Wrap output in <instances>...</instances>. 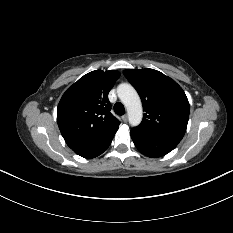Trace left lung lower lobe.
Listing matches in <instances>:
<instances>
[{
    "label": "left lung lower lobe",
    "instance_id": "left-lung-lower-lobe-1",
    "mask_svg": "<svg viewBox=\"0 0 233 233\" xmlns=\"http://www.w3.org/2000/svg\"><path fill=\"white\" fill-rule=\"evenodd\" d=\"M130 135L136 148L142 154L152 158L166 155L180 142L177 139L141 132L135 128L131 129Z\"/></svg>",
    "mask_w": 233,
    "mask_h": 233
}]
</instances>
